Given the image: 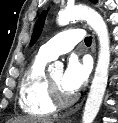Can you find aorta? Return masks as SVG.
I'll list each match as a JSON object with an SVG mask.
<instances>
[{"label": "aorta", "mask_w": 118, "mask_h": 123, "mask_svg": "<svg viewBox=\"0 0 118 123\" xmlns=\"http://www.w3.org/2000/svg\"><path fill=\"white\" fill-rule=\"evenodd\" d=\"M82 19L94 30L99 40V55L94 78L83 111L82 123H92L100 109L108 81L110 64V39L108 28L102 16L87 6H73L59 13L57 23L65 26L70 21ZM56 64H59L56 62Z\"/></svg>", "instance_id": "aorta-1"}]
</instances>
